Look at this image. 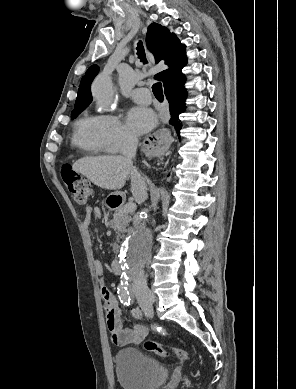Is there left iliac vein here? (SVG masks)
Listing matches in <instances>:
<instances>
[{"label": "left iliac vein", "instance_id": "4c4485c4", "mask_svg": "<svg viewBox=\"0 0 296 389\" xmlns=\"http://www.w3.org/2000/svg\"><path fill=\"white\" fill-rule=\"evenodd\" d=\"M140 306L144 311L145 315L148 317H152L153 315V306L151 302H141Z\"/></svg>", "mask_w": 296, "mask_h": 389}]
</instances>
